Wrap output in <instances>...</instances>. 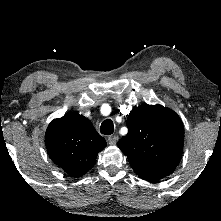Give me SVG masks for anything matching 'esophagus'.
I'll use <instances>...</instances> for the list:
<instances>
[{
  "mask_svg": "<svg viewBox=\"0 0 221 221\" xmlns=\"http://www.w3.org/2000/svg\"><path fill=\"white\" fill-rule=\"evenodd\" d=\"M108 142L110 145H115L117 142V137L115 135H111L108 137Z\"/></svg>",
  "mask_w": 221,
  "mask_h": 221,
  "instance_id": "1",
  "label": "esophagus"
}]
</instances>
